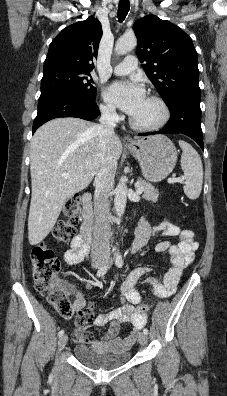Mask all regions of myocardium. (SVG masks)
Segmentation results:
<instances>
[{"instance_id":"1","label":"myocardium","mask_w":227,"mask_h":396,"mask_svg":"<svg viewBox=\"0 0 227 396\" xmlns=\"http://www.w3.org/2000/svg\"><path fill=\"white\" fill-rule=\"evenodd\" d=\"M151 101L156 103L160 110H161V117L158 121L152 124H140L137 121L133 119V117L129 118V123L132 128L138 130V131H143V132H152V131H157L161 128H163L169 121L170 119V109L165 100L158 96V95H150L148 97Z\"/></svg>"}]
</instances>
